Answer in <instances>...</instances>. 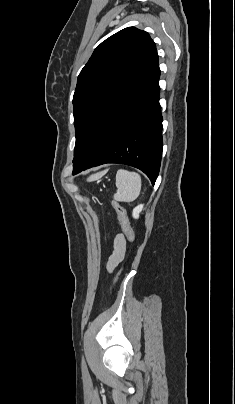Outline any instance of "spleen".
Wrapping results in <instances>:
<instances>
[{
	"instance_id": "spleen-1",
	"label": "spleen",
	"mask_w": 235,
	"mask_h": 404,
	"mask_svg": "<svg viewBox=\"0 0 235 404\" xmlns=\"http://www.w3.org/2000/svg\"><path fill=\"white\" fill-rule=\"evenodd\" d=\"M117 191L113 198L119 202H132L140 194L141 177L136 172L120 169L116 174Z\"/></svg>"
}]
</instances>
